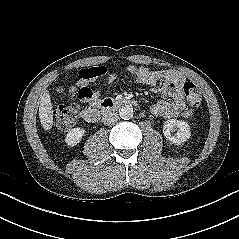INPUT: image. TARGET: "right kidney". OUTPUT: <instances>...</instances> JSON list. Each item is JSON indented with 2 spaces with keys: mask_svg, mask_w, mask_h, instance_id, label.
Segmentation results:
<instances>
[{
  "mask_svg": "<svg viewBox=\"0 0 239 239\" xmlns=\"http://www.w3.org/2000/svg\"><path fill=\"white\" fill-rule=\"evenodd\" d=\"M84 134H85L84 128L82 127L73 128L66 135L65 142L68 146H75L81 141Z\"/></svg>",
  "mask_w": 239,
  "mask_h": 239,
  "instance_id": "ca27d5eb",
  "label": "right kidney"
}]
</instances>
